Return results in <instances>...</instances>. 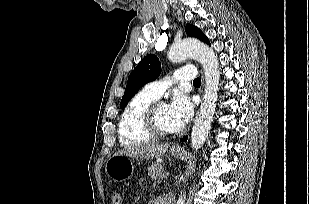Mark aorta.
<instances>
[{
  "label": "aorta",
  "mask_w": 309,
  "mask_h": 204,
  "mask_svg": "<svg viewBox=\"0 0 309 204\" xmlns=\"http://www.w3.org/2000/svg\"><path fill=\"white\" fill-rule=\"evenodd\" d=\"M168 57L171 62L176 63L191 57L198 60L204 68V96L191 133V147L197 151L208 137L215 113L220 79L219 62L209 46L192 39L174 43L168 52ZM184 201L185 195L182 197L181 194L177 204H184Z\"/></svg>",
  "instance_id": "obj_1"
}]
</instances>
